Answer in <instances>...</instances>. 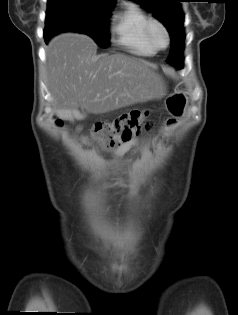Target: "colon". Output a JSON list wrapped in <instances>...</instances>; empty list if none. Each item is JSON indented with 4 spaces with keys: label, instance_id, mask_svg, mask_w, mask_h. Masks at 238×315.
I'll use <instances>...</instances> for the list:
<instances>
[{
    "label": "colon",
    "instance_id": "obj_1",
    "mask_svg": "<svg viewBox=\"0 0 238 315\" xmlns=\"http://www.w3.org/2000/svg\"><path fill=\"white\" fill-rule=\"evenodd\" d=\"M150 126L148 112L134 110L120 115L111 122L96 123L92 129L91 138L102 147L111 148L134 139Z\"/></svg>",
    "mask_w": 238,
    "mask_h": 315
}]
</instances>
